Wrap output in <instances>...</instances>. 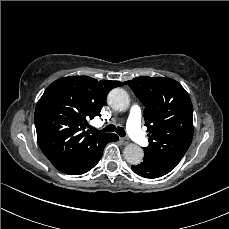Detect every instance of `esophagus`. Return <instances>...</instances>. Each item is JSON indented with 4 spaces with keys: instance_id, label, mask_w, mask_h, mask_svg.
<instances>
[{
    "instance_id": "1",
    "label": "esophagus",
    "mask_w": 229,
    "mask_h": 229,
    "mask_svg": "<svg viewBox=\"0 0 229 229\" xmlns=\"http://www.w3.org/2000/svg\"><path fill=\"white\" fill-rule=\"evenodd\" d=\"M120 141H121V143L124 144V145H126V144L129 143V139H128V138H125V137L120 138Z\"/></svg>"
}]
</instances>
